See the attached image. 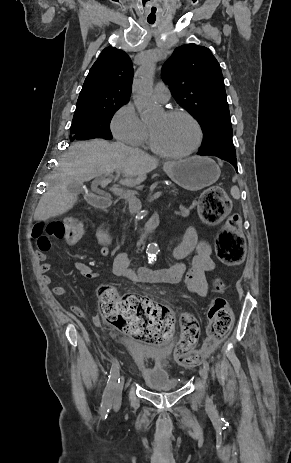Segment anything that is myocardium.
Here are the masks:
<instances>
[{"label": "myocardium", "mask_w": 291, "mask_h": 463, "mask_svg": "<svg viewBox=\"0 0 291 463\" xmlns=\"http://www.w3.org/2000/svg\"><path fill=\"white\" fill-rule=\"evenodd\" d=\"M164 114L167 117L182 116V117H185L186 119H188L195 127L196 140H195L194 144L189 149H187L185 151L177 152V153L166 152V151H163V150L159 149L155 145L153 132H152L151 128H149V145H150V148L152 149V151L154 153L158 154L159 156H161L163 158H168V159L184 158V157H187V156L193 154L194 152H196L200 148V146L202 144V141H203V129H202V126H201L200 122L197 120V118L192 113H190L189 111H187L185 109H181V108L169 109V110L165 111Z\"/></svg>", "instance_id": "myocardium-1"}]
</instances>
